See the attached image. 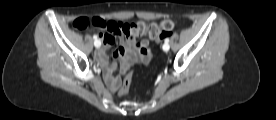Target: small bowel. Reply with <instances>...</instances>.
<instances>
[{
  "label": "small bowel",
  "instance_id": "small-bowel-1",
  "mask_svg": "<svg viewBox=\"0 0 276 120\" xmlns=\"http://www.w3.org/2000/svg\"><path fill=\"white\" fill-rule=\"evenodd\" d=\"M123 26V23L108 21L107 26L103 29L105 33L96 35L102 41L105 48L114 45L118 38L119 46L115 51V57L120 61L119 70L122 74L138 58L144 63L150 60L149 42L147 40L137 41L136 39L125 37L122 33ZM96 58L99 64L106 69V82L114 89L118 81V78L113 75L116 70V65L108 62L104 49L97 51Z\"/></svg>",
  "mask_w": 276,
  "mask_h": 120
}]
</instances>
